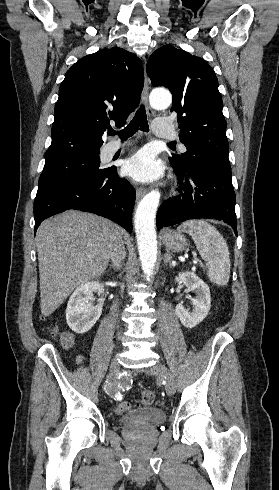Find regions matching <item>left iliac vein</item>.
Masks as SVG:
<instances>
[{"label":"left iliac vein","instance_id":"obj_1","mask_svg":"<svg viewBox=\"0 0 279 490\" xmlns=\"http://www.w3.org/2000/svg\"><path fill=\"white\" fill-rule=\"evenodd\" d=\"M152 373L160 376L161 379L166 381V392L169 396H172L175 392V380L171 371L161 363H156L152 369Z\"/></svg>","mask_w":279,"mask_h":490}]
</instances>
